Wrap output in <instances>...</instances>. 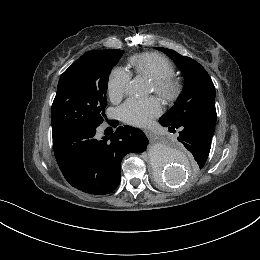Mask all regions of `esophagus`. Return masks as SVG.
<instances>
[{
	"mask_svg": "<svg viewBox=\"0 0 260 260\" xmlns=\"http://www.w3.org/2000/svg\"><path fill=\"white\" fill-rule=\"evenodd\" d=\"M144 132L150 139L154 137V134L150 129H145Z\"/></svg>",
	"mask_w": 260,
	"mask_h": 260,
	"instance_id": "esophagus-1",
	"label": "esophagus"
}]
</instances>
